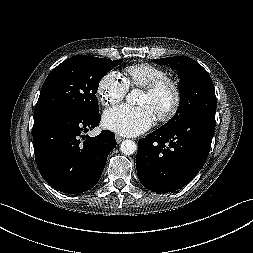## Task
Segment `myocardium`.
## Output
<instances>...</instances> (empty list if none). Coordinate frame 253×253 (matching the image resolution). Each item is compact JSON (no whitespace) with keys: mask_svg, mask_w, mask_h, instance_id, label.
Returning <instances> with one entry per match:
<instances>
[{"mask_svg":"<svg viewBox=\"0 0 253 253\" xmlns=\"http://www.w3.org/2000/svg\"><path fill=\"white\" fill-rule=\"evenodd\" d=\"M144 92L153 99H158L165 93L169 95L170 100L168 105L156 112L158 121L168 122L176 116L181 106L182 96L180 88L174 80L168 77L157 79L145 86Z\"/></svg>","mask_w":253,"mask_h":253,"instance_id":"obj_1","label":"myocardium"}]
</instances>
